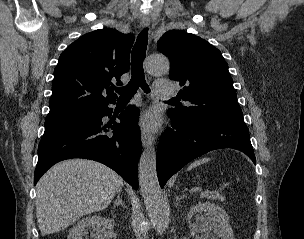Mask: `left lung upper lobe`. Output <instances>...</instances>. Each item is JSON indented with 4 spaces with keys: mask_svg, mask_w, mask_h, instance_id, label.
Returning <instances> with one entry per match:
<instances>
[{
    "mask_svg": "<svg viewBox=\"0 0 304 239\" xmlns=\"http://www.w3.org/2000/svg\"><path fill=\"white\" fill-rule=\"evenodd\" d=\"M157 48L170 60V79L183 87L180 96L192 103L169 111L182 121L195 124L209 120L244 122L228 65L217 48L179 30L166 32Z\"/></svg>",
    "mask_w": 304,
    "mask_h": 239,
    "instance_id": "left-lung-upper-lobe-1",
    "label": "left lung upper lobe"
}]
</instances>
